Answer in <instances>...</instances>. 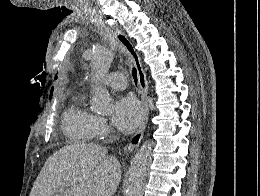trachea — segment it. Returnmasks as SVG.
Returning a JSON list of instances; mask_svg holds the SVG:
<instances>
[{
	"label": "trachea",
	"mask_w": 260,
	"mask_h": 196,
	"mask_svg": "<svg viewBox=\"0 0 260 196\" xmlns=\"http://www.w3.org/2000/svg\"><path fill=\"white\" fill-rule=\"evenodd\" d=\"M132 75H133V79H134L135 85L137 86L138 76H137L136 68H133V70H132Z\"/></svg>",
	"instance_id": "3493384b"
}]
</instances>
